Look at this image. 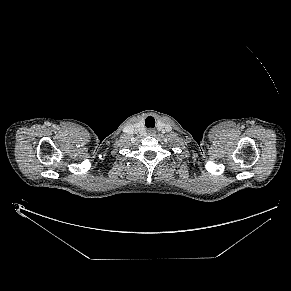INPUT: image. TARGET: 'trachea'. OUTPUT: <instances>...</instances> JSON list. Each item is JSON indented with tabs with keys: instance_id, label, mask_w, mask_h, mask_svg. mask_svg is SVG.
Instances as JSON below:
<instances>
[{
	"instance_id": "1",
	"label": "trachea",
	"mask_w": 291,
	"mask_h": 291,
	"mask_svg": "<svg viewBox=\"0 0 291 291\" xmlns=\"http://www.w3.org/2000/svg\"><path fill=\"white\" fill-rule=\"evenodd\" d=\"M145 125L148 128H154L155 126V119L153 117H147L145 120Z\"/></svg>"
}]
</instances>
